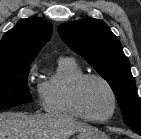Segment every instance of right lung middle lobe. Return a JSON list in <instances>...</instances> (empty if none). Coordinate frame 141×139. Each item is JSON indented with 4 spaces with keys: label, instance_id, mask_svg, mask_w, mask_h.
<instances>
[{
    "label": "right lung middle lobe",
    "instance_id": "dd1d6c3e",
    "mask_svg": "<svg viewBox=\"0 0 141 139\" xmlns=\"http://www.w3.org/2000/svg\"><path fill=\"white\" fill-rule=\"evenodd\" d=\"M29 64L0 65V111L32 101L27 78Z\"/></svg>",
    "mask_w": 141,
    "mask_h": 139
}]
</instances>
